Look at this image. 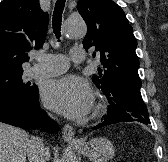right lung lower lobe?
Instances as JSON below:
<instances>
[{
	"mask_svg": "<svg viewBox=\"0 0 168 162\" xmlns=\"http://www.w3.org/2000/svg\"><path fill=\"white\" fill-rule=\"evenodd\" d=\"M38 103L37 86L36 91L27 98L0 95V122L29 130L42 127L50 133L58 131L57 124L43 115Z\"/></svg>",
	"mask_w": 168,
	"mask_h": 162,
	"instance_id": "obj_1",
	"label": "right lung lower lobe"
}]
</instances>
